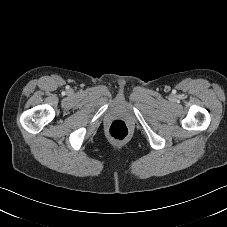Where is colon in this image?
Here are the masks:
<instances>
[{"mask_svg": "<svg viewBox=\"0 0 227 227\" xmlns=\"http://www.w3.org/2000/svg\"><path fill=\"white\" fill-rule=\"evenodd\" d=\"M108 133L114 140H125L128 137L129 130L125 122L115 120L109 125Z\"/></svg>", "mask_w": 227, "mask_h": 227, "instance_id": "1", "label": "colon"}]
</instances>
